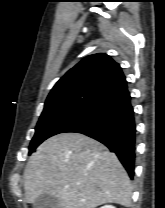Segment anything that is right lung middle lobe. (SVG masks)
Segmentation results:
<instances>
[{"label":"right lung middle lobe","mask_w":165,"mask_h":208,"mask_svg":"<svg viewBox=\"0 0 165 208\" xmlns=\"http://www.w3.org/2000/svg\"><path fill=\"white\" fill-rule=\"evenodd\" d=\"M92 104H58L44 107L35 128V135L30 143L29 154L47 138L63 133L83 119L92 109Z\"/></svg>","instance_id":"right-lung-middle-lobe-1"}]
</instances>
